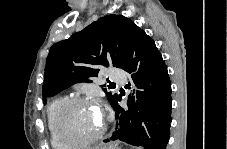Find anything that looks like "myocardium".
Segmentation results:
<instances>
[{"label": "myocardium", "instance_id": "obj_1", "mask_svg": "<svg viewBox=\"0 0 227 149\" xmlns=\"http://www.w3.org/2000/svg\"><path fill=\"white\" fill-rule=\"evenodd\" d=\"M89 102V99L86 97H72L66 99L58 108L56 115H55V129L58 138L62 143L66 146H89L93 145L96 141H98L103 133L106 130V122L104 116L102 115V122L99 130L92 136L86 139H73L68 137L64 131V117L66 112L70 107L75 104Z\"/></svg>", "mask_w": 227, "mask_h": 149}]
</instances>
